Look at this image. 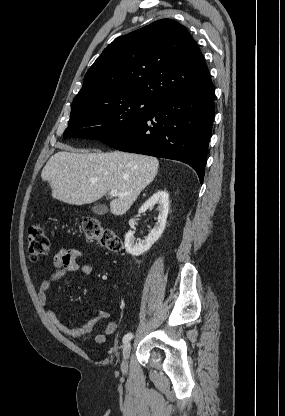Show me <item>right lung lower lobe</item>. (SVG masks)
Wrapping results in <instances>:
<instances>
[{
    "mask_svg": "<svg viewBox=\"0 0 285 416\" xmlns=\"http://www.w3.org/2000/svg\"><path fill=\"white\" fill-rule=\"evenodd\" d=\"M211 82L174 96L127 129L101 142L121 151L182 161L202 183L215 115Z\"/></svg>",
    "mask_w": 285,
    "mask_h": 416,
    "instance_id": "98d812e1",
    "label": "right lung lower lobe"
}]
</instances>
